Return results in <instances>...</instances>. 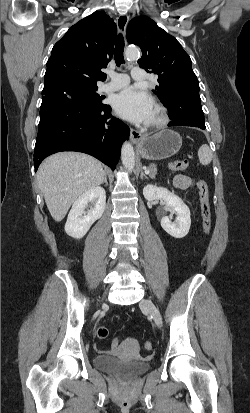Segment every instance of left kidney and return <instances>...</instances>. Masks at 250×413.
Wrapping results in <instances>:
<instances>
[{"instance_id":"5707ae66","label":"left kidney","mask_w":250,"mask_h":413,"mask_svg":"<svg viewBox=\"0 0 250 413\" xmlns=\"http://www.w3.org/2000/svg\"><path fill=\"white\" fill-rule=\"evenodd\" d=\"M143 195L149 201L163 200L167 206L176 212L175 222H172L167 216L161 219V226L169 235L180 239L188 234L191 225L190 210L181 198L166 188L151 184L144 187Z\"/></svg>"}]
</instances>
